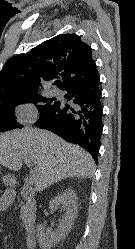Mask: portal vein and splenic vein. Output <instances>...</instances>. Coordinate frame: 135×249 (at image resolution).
Segmentation results:
<instances>
[{
  "instance_id": "18ae733b",
  "label": "portal vein and splenic vein",
  "mask_w": 135,
  "mask_h": 249,
  "mask_svg": "<svg viewBox=\"0 0 135 249\" xmlns=\"http://www.w3.org/2000/svg\"><path fill=\"white\" fill-rule=\"evenodd\" d=\"M23 159V161H24V163L27 165V166H29V167H32V162H31V160L29 159V158H27V157H24V158H22ZM35 180H36V170H30V175H29V177L27 178V181H28V183L31 185V184H33L34 182H35Z\"/></svg>"
}]
</instances>
